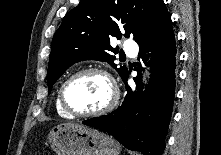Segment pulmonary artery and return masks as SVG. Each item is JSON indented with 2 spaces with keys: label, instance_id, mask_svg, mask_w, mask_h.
Masks as SVG:
<instances>
[{
  "label": "pulmonary artery",
  "instance_id": "pulmonary-artery-1",
  "mask_svg": "<svg viewBox=\"0 0 221 155\" xmlns=\"http://www.w3.org/2000/svg\"><path fill=\"white\" fill-rule=\"evenodd\" d=\"M124 51L130 56H135L138 51V47L135 42L128 40L124 44Z\"/></svg>",
  "mask_w": 221,
  "mask_h": 155
}]
</instances>
